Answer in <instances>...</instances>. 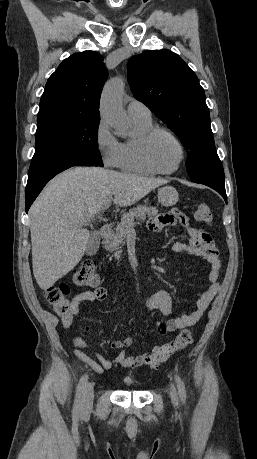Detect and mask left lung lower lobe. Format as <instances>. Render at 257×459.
Listing matches in <instances>:
<instances>
[{
    "label": "left lung lower lobe",
    "instance_id": "obj_1",
    "mask_svg": "<svg viewBox=\"0 0 257 459\" xmlns=\"http://www.w3.org/2000/svg\"><path fill=\"white\" fill-rule=\"evenodd\" d=\"M196 183H201V184H204V185H207L209 187H211L212 189L218 191L222 197L224 198V200L227 202V196H226V191H225V184L224 183H210V182H196Z\"/></svg>",
    "mask_w": 257,
    "mask_h": 459
}]
</instances>
